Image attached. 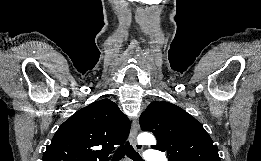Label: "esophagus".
<instances>
[{
	"instance_id": "34e87169",
	"label": "esophagus",
	"mask_w": 261,
	"mask_h": 161,
	"mask_svg": "<svg viewBox=\"0 0 261 161\" xmlns=\"http://www.w3.org/2000/svg\"><path fill=\"white\" fill-rule=\"evenodd\" d=\"M137 134H138V121L134 119L131 125L130 141L137 150L142 151L143 147L137 144V140H136Z\"/></svg>"
}]
</instances>
